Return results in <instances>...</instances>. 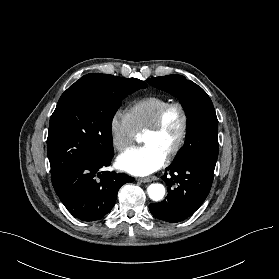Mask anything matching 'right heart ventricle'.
Segmentation results:
<instances>
[{
  "label": "right heart ventricle",
  "instance_id": "e07e8e85",
  "mask_svg": "<svg viewBox=\"0 0 279 279\" xmlns=\"http://www.w3.org/2000/svg\"><path fill=\"white\" fill-rule=\"evenodd\" d=\"M169 99L149 96L133 102L127 111L138 132H144L155 120L159 110L169 103Z\"/></svg>",
  "mask_w": 279,
  "mask_h": 279
}]
</instances>
